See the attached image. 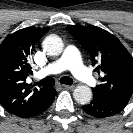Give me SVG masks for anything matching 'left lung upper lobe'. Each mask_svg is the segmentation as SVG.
<instances>
[{"instance_id": "left-lung-upper-lobe-1", "label": "left lung upper lobe", "mask_w": 133, "mask_h": 133, "mask_svg": "<svg viewBox=\"0 0 133 133\" xmlns=\"http://www.w3.org/2000/svg\"><path fill=\"white\" fill-rule=\"evenodd\" d=\"M67 29L89 53L101 83L94 96L125 107L133 94V58L117 37L97 26Z\"/></svg>"}]
</instances>
